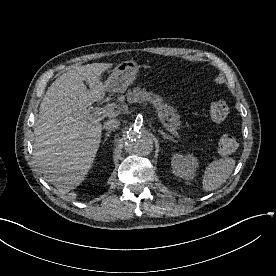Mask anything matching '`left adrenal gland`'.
Segmentation results:
<instances>
[{"instance_id": "1", "label": "left adrenal gland", "mask_w": 276, "mask_h": 276, "mask_svg": "<svg viewBox=\"0 0 276 276\" xmlns=\"http://www.w3.org/2000/svg\"><path fill=\"white\" fill-rule=\"evenodd\" d=\"M159 133L163 136L164 140L168 139V140L176 142L172 136L168 135L167 133L163 132L162 130H159Z\"/></svg>"}]
</instances>
